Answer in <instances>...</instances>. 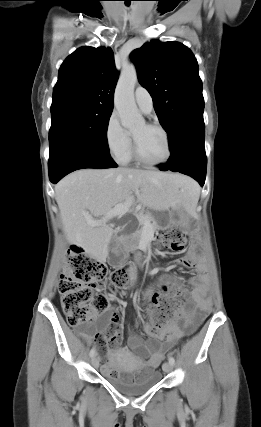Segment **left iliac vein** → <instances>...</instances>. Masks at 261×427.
Here are the masks:
<instances>
[{
    "label": "left iliac vein",
    "mask_w": 261,
    "mask_h": 427,
    "mask_svg": "<svg viewBox=\"0 0 261 427\" xmlns=\"http://www.w3.org/2000/svg\"><path fill=\"white\" fill-rule=\"evenodd\" d=\"M162 369L165 373H169L172 371V364L169 362H165L162 366Z\"/></svg>",
    "instance_id": "4c4485c4"
}]
</instances>
